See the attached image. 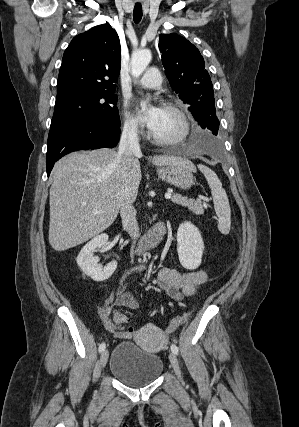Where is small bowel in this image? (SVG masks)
Segmentation results:
<instances>
[{
    "mask_svg": "<svg viewBox=\"0 0 299 427\" xmlns=\"http://www.w3.org/2000/svg\"><path fill=\"white\" fill-rule=\"evenodd\" d=\"M207 278L208 273L204 270L181 272L167 267H162L157 275V283L159 287L170 297L174 299H181L184 296L192 295L197 287L204 283ZM115 305L129 309H137L139 307L138 302L129 292H122L117 297ZM114 315H112L111 307H105L102 309L101 318L104 326L120 338L129 336V333H121L117 331L116 325L113 321Z\"/></svg>",
    "mask_w": 299,
    "mask_h": 427,
    "instance_id": "small-bowel-1",
    "label": "small bowel"
}]
</instances>
